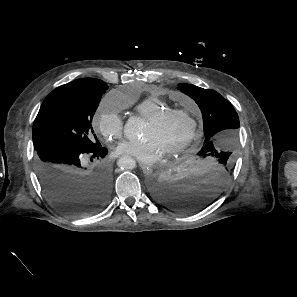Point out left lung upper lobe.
Returning <instances> with one entry per match:
<instances>
[{"label":"left lung upper lobe","mask_w":297,"mask_h":297,"mask_svg":"<svg viewBox=\"0 0 297 297\" xmlns=\"http://www.w3.org/2000/svg\"><path fill=\"white\" fill-rule=\"evenodd\" d=\"M179 89L195 100L202 112L205 139L197 156H216L233 164L239 118L232 104L214 90L186 83L179 84Z\"/></svg>","instance_id":"5c2ea615"}]
</instances>
